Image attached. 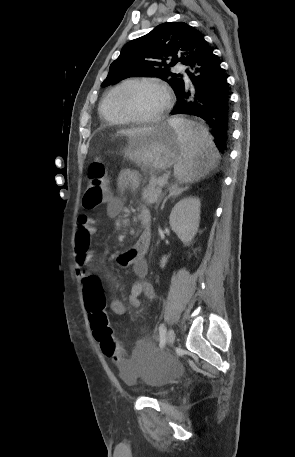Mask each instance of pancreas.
Listing matches in <instances>:
<instances>
[{"instance_id":"cf45deb5","label":"pancreas","mask_w":295,"mask_h":457,"mask_svg":"<svg viewBox=\"0 0 295 457\" xmlns=\"http://www.w3.org/2000/svg\"><path fill=\"white\" fill-rule=\"evenodd\" d=\"M157 178H151L149 185L142 190V199L147 204L159 203L163 193Z\"/></svg>"}]
</instances>
